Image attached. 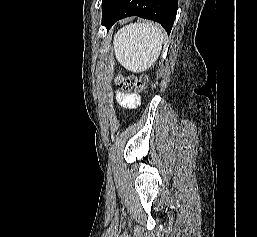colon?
Here are the masks:
<instances>
[{"mask_svg": "<svg viewBox=\"0 0 257 237\" xmlns=\"http://www.w3.org/2000/svg\"><path fill=\"white\" fill-rule=\"evenodd\" d=\"M117 83L119 87L125 91H131V90L142 91L148 86L149 80H148V77L145 75H141L139 77L119 76L117 78Z\"/></svg>", "mask_w": 257, "mask_h": 237, "instance_id": "5ec220e1", "label": "colon"}]
</instances>
